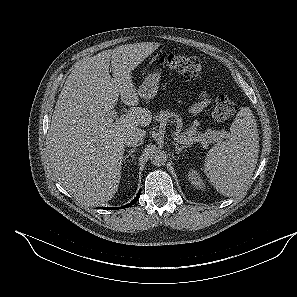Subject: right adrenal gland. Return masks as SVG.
Listing matches in <instances>:
<instances>
[{
	"label": "right adrenal gland",
	"instance_id": "1",
	"mask_svg": "<svg viewBox=\"0 0 297 297\" xmlns=\"http://www.w3.org/2000/svg\"><path fill=\"white\" fill-rule=\"evenodd\" d=\"M135 151H136V148H133V149L129 150V151L127 152L128 154H126V155L123 157V162L125 163L126 159L129 158V157H131V158L134 160V158H135V156H134V152H135Z\"/></svg>",
	"mask_w": 297,
	"mask_h": 297
}]
</instances>
